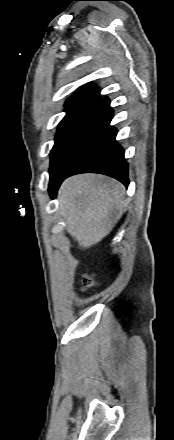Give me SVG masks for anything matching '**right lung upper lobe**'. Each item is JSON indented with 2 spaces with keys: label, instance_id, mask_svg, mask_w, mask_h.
<instances>
[{
  "label": "right lung upper lobe",
  "instance_id": "cb5924a9",
  "mask_svg": "<svg viewBox=\"0 0 174 440\" xmlns=\"http://www.w3.org/2000/svg\"><path fill=\"white\" fill-rule=\"evenodd\" d=\"M99 94L100 90L95 85L88 83L80 87L79 91L66 101L65 107L68 109L89 100L99 99L97 98Z\"/></svg>",
  "mask_w": 174,
  "mask_h": 440
}]
</instances>
